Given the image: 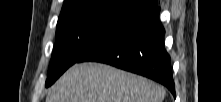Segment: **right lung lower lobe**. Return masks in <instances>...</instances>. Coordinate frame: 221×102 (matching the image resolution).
<instances>
[{
    "label": "right lung lower lobe",
    "instance_id": "obj_1",
    "mask_svg": "<svg viewBox=\"0 0 221 102\" xmlns=\"http://www.w3.org/2000/svg\"><path fill=\"white\" fill-rule=\"evenodd\" d=\"M159 11L155 2L94 46L79 62H102L145 76L166 86L175 97Z\"/></svg>",
    "mask_w": 221,
    "mask_h": 102
}]
</instances>
